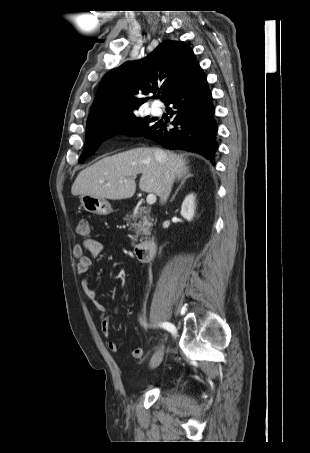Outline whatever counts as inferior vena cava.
<instances>
[{"label":"inferior vena cava","instance_id":"inferior-vena-cava-1","mask_svg":"<svg viewBox=\"0 0 310 453\" xmlns=\"http://www.w3.org/2000/svg\"><path fill=\"white\" fill-rule=\"evenodd\" d=\"M154 155L157 161H159L165 167V180L164 185L162 188L160 202L161 204L165 203L169 197L171 192L172 184H173V173L171 171L169 163L165 160V155L162 150L155 149Z\"/></svg>","mask_w":310,"mask_h":453}]
</instances>
